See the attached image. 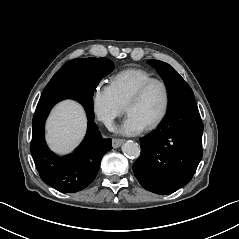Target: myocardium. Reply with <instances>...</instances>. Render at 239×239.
I'll return each mask as SVG.
<instances>
[{"instance_id": "myocardium-1", "label": "myocardium", "mask_w": 239, "mask_h": 239, "mask_svg": "<svg viewBox=\"0 0 239 239\" xmlns=\"http://www.w3.org/2000/svg\"><path fill=\"white\" fill-rule=\"evenodd\" d=\"M154 84H160L163 87L164 92H165V104H164L163 111L161 112L159 117L154 122H152L151 124H149L145 127V129L149 130V131L154 130V129L158 128L159 126H161L162 123L168 117V114L170 112L172 97H171V90H170L168 83L165 80L160 79V78H151L148 81L141 84L134 91V93L131 95V97L129 98V100L126 104V111L128 112L130 106L132 104L138 102L139 100H141L142 97L147 92V90Z\"/></svg>"}]
</instances>
